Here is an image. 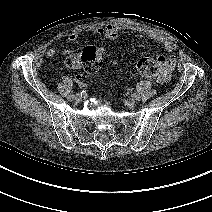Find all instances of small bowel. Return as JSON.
I'll return each instance as SVG.
<instances>
[{
	"label": "small bowel",
	"mask_w": 212,
	"mask_h": 212,
	"mask_svg": "<svg viewBox=\"0 0 212 212\" xmlns=\"http://www.w3.org/2000/svg\"><path fill=\"white\" fill-rule=\"evenodd\" d=\"M89 30L94 34L103 35L109 40H116L121 31L130 30V31H134V32L144 34L147 37H149L150 39L162 44L164 49L167 52L172 53L177 48L175 42L168 39L167 37H165L161 33L154 31V30H151V29H145V28L137 27V26L130 25V24L109 23V24H106V25L92 26V27L89 28ZM77 39H78V34L76 32H72L68 36V40L70 42H75ZM70 52L71 51L68 50V49L59 51L57 47H51V48L48 49L47 55L49 57H55L57 55H67ZM160 57L164 61V65H163V68H162L161 77L158 80L161 83H166L169 80L170 73L175 66V57L172 56V55H169V56H166V57H164V56H160ZM75 80H76L77 83L81 84L85 80V76L78 75V76H76Z\"/></svg>",
	"instance_id": "obj_1"
}]
</instances>
